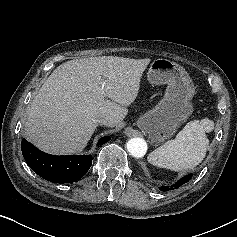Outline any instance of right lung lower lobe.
<instances>
[{"label":"right lung lower lobe","mask_w":237,"mask_h":237,"mask_svg":"<svg viewBox=\"0 0 237 237\" xmlns=\"http://www.w3.org/2000/svg\"><path fill=\"white\" fill-rule=\"evenodd\" d=\"M110 137H103L98 145ZM22 154L28 166L40 177L54 183H70L82 178L92 165L90 155L55 156L46 154L27 140L21 142Z\"/></svg>","instance_id":"obj_1"}]
</instances>
